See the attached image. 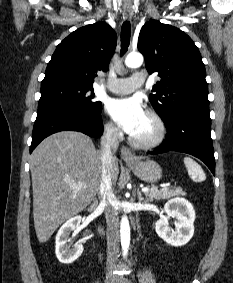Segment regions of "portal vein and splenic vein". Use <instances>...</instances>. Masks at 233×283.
<instances>
[{
    "label": "portal vein and splenic vein",
    "mask_w": 233,
    "mask_h": 283,
    "mask_svg": "<svg viewBox=\"0 0 233 283\" xmlns=\"http://www.w3.org/2000/svg\"><path fill=\"white\" fill-rule=\"evenodd\" d=\"M73 186H74L75 188H77V189H82V188L86 187V185H84V184H76V185H73ZM141 190H142V192L146 193V192H148L150 189L147 188V187H144V188H142ZM162 190H163V191H166V190H167V187H164Z\"/></svg>",
    "instance_id": "18ae733b"
}]
</instances>
